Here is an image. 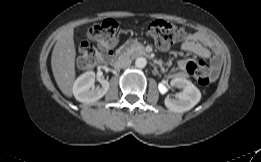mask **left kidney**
Wrapping results in <instances>:
<instances>
[{"mask_svg":"<svg viewBox=\"0 0 261 162\" xmlns=\"http://www.w3.org/2000/svg\"><path fill=\"white\" fill-rule=\"evenodd\" d=\"M172 87L182 89V92L172 98L169 95L165 98V106L172 112L182 113L192 109L201 99V92L189 80L176 77L170 82Z\"/></svg>","mask_w":261,"mask_h":162,"instance_id":"obj_1","label":"left kidney"}]
</instances>
